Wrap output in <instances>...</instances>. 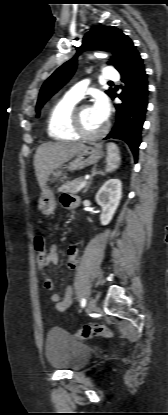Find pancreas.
Instances as JSON below:
<instances>
[{
    "mask_svg": "<svg viewBox=\"0 0 168 415\" xmlns=\"http://www.w3.org/2000/svg\"><path fill=\"white\" fill-rule=\"evenodd\" d=\"M83 181V178H78L75 179L73 181H68L66 183H64L60 188H59V192H63V193H76L78 191V187L80 186L81 182Z\"/></svg>",
    "mask_w": 168,
    "mask_h": 415,
    "instance_id": "1",
    "label": "pancreas"
}]
</instances>
